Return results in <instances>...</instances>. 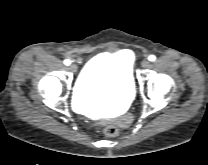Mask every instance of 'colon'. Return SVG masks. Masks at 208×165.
Instances as JSON below:
<instances>
[{"mask_svg": "<svg viewBox=\"0 0 208 165\" xmlns=\"http://www.w3.org/2000/svg\"><path fill=\"white\" fill-rule=\"evenodd\" d=\"M103 133L107 137H115L119 134V128L114 124H105L103 126Z\"/></svg>", "mask_w": 208, "mask_h": 165, "instance_id": "colon-1", "label": "colon"}]
</instances>
